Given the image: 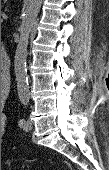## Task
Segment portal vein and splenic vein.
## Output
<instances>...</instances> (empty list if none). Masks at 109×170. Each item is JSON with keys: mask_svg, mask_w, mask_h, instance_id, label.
<instances>
[{"mask_svg": "<svg viewBox=\"0 0 109 170\" xmlns=\"http://www.w3.org/2000/svg\"><path fill=\"white\" fill-rule=\"evenodd\" d=\"M8 17L6 15H2V20H6Z\"/></svg>", "mask_w": 109, "mask_h": 170, "instance_id": "18ae733b", "label": "portal vein and splenic vein"}]
</instances>
